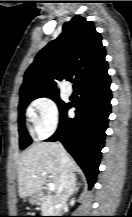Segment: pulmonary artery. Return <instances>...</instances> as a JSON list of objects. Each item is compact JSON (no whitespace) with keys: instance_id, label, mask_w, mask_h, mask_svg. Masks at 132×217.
I'll list each match as a JSON object with an SVG mask.
<instances>
[{"instance_id":"pulmonary-artery-1","label":"pulmonary artery","mask_w":132,"mask_h":217,"mask_svg":"<svg viewBox=\"0 0 132 217\" xmlns=\"http://www.w3.org/2000/svg\"><path fill=\"white\" fill-rule=\"evenodd\" d=\"M65 91H66L67 95H71L73 92L72 87L70 85L66 86Z\"/></svg>"}]
</instances>
